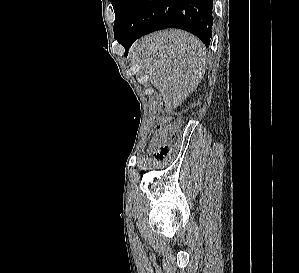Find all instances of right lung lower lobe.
I'll use <instances>...</instances> for the list:
<instances>
[{
    "label": "right lung lower lobe",
    "instance_id": "98d812e1",
    "mask_svg": "<svg viewBox=\"0 0 299 273\" xmlns=\"http://www.w3.org/2000/svg\"><path fill=\"white\" fill-rule=\"evenodd\" d=\"M212 8L213 0H134L115 39L127 56L137 38L156 30L179 28L196 35L208 47Z\"/></svg>",
    "mask_w": 299,
    "mask_h": 273
}]
</instances>
